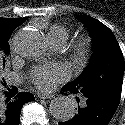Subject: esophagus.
Here are the masks:
<instances>
[{
    "label": "esophagus",
    "instance_id": "esophagus-1",
    "mask_svg": "<svg viewBox=\"0 0 125 125\" xmlns=\"http://www.w3.org/2000/svg\"><path fill=\"white\" fill-rule=\"evenodd\" d=\"M38 97H39L40 99H52L54 96L51 95V94L39 93V94H38Z\"/></svg>",
    "mask_w": 125,
    "mask_h": 125
}]
</instances>
